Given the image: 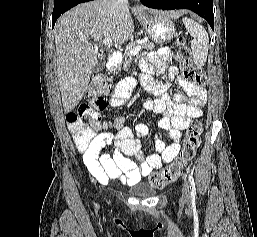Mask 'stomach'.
Masks as SVG:
<instances>
[{"instance_id": "stomach-1", "label": "stomach", "mask_w": 257, "mask_h": 237, "mask_svg": "<svg viewBox=\"0 0 257 237\" xmlns=\"http://www.w3.org/2000/svg\"><path fill=\"white\" fill-rule=\"evenodd\" d=\"M137 18L145 29L149 39L156 43H166L176 33L174 24L161 13L141 12L137 15Z\"/></svg>"}]
</instances>
